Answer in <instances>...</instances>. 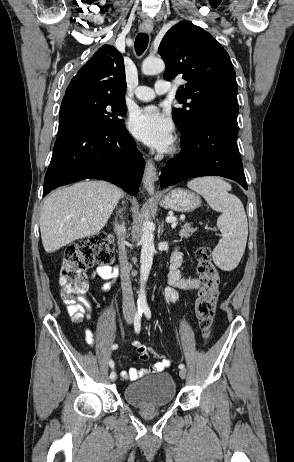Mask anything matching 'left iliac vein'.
Listing matches in <instances>:
<instances>
[{"label": "left iliac vein", "instance_id": "4c4485c4", "mask_svg": "<svg viewBox=\"0 0 294 462\" xmlns=\"http://www.w3.org/2000/svg\"><path fill=\"white\" fill-rule=\"evenodd\" d=\"M179 375L182 379H184L186 377V369H181L179 371Z\"/></svg>", "mask_w": 294, "mask_h": 462}]
</instances>
